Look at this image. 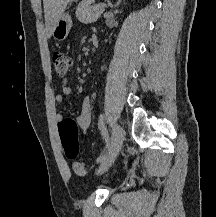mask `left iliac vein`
Segmentation results:
<instances>
[{
    "mask_svg": "<svg viewBox=\"0 0 216 217\" xmlns=\"http://www.w3.org/2000/svg\"><path fill=\"white\" fill-rule=\"evenodd\" d=\"M124 136L125 132L123 128L120 125H115L113 127L112 139L108 153L106 155V158L101 162L97 170L98 174L104 173L115 161L123 144Z\"/></svg>",
    "mask_w": 216,
    "mask_h": 217,
    "instance_id": "1",
    "label": "left iliac vein"
}]
</instances>
